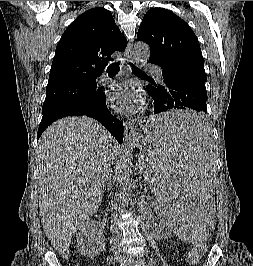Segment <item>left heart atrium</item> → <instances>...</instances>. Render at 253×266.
Instances as JSON below:
<instances>
[{
    "label": "left heart atrium",
    "instance_id": "1",
    "mask_svg": "<svg viewBox=\"0 0 253 266\" xmlns=\"http://www.w3.org/2000/svg\"><path fill=\"white\" fill-rule=\"evenodd\" d=\"M110 105L118 112L124 114H135L143 105L141 94L131 83L115 86L108 94Z\"/></svg>",
    "mask_w": 253,
    "mask_h": 266
}]
</instances>
